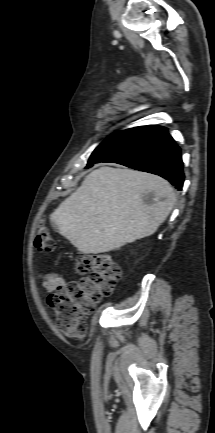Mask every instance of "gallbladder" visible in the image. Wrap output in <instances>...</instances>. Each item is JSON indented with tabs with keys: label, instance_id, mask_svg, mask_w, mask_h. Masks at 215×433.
Here are the masks:
<instances>
[{
	"label": "gallbladder",
	"instance_id": "bac80fb5",
	"mask_svg": "<svg viewBox=\"0 0 215 433\" xmlns=\"http://www.w3.org/2000/svg\"><path fill=\"white\" fill-rule=\"evenodd\" d=\"M51 225H52V228L57 232L58 231L57 225L54 222H52Z\"/></svg>",
	"mask_w": 215,
	"mask_h": 433
}]
</instances>
